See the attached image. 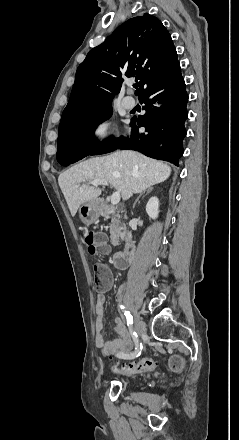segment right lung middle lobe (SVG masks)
<instances>
[{"label":"right lung middle lobe","mask_w":239,"mask_h":440,"mask_svg":"<svg viewBox=\"0 0 239 440\" xmlns=\"http://www.w3.org/2000/svg\"><path fill=\"white\" fill-rule=\"evenodd\" d=\"M111 104L94 112L74 117L59 124L58 150L79 144L93 145V134L98 124L110 118Z\"/></svg>","instance_id":"1"}]
</instances>
